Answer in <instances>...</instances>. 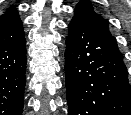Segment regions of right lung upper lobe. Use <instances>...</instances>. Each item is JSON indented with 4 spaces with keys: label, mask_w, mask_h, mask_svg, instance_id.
<instances>
[{
    "label": "right lung upper lobe",
    "mask_w": 131,
    "mask_h": 115,
    "mask_svg": "<svg viewBox=\"0 0 131 115\" xmlns=\"http://www.w3.org/2000/svg\"><path fill=\"white\" fill-rule=\"evenodd\" d=\"M24 35L21 20L14 6L0 16V47L18 41Z\"/></svg>",
    "instance_id": "right-lung-upper-lobe-1"
}]
</instances>
